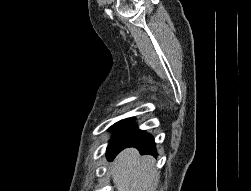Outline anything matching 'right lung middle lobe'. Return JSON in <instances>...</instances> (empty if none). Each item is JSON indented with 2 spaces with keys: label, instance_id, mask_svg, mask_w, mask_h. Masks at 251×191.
<instances>
[{
  "label": "right lung middle lobe",
  "instance_id": "obj_1",
  "mask_svg": "<svg viewBox=\"0 0 251 191\" xmlns=\"http://www.w3.org/2000/svg\"><path fill=\"white\" fill-rule=\"evenodd\" d=\"M133 121L134 118H127L111 126L109 130L114 131L112 139L122 133L125 129H127Z\"/></svg>",
  "mask_w": 251,
  "mask_h": 191
}]
</instances>
